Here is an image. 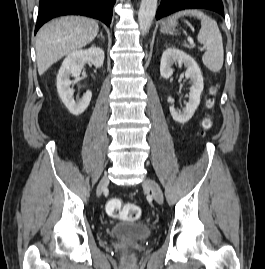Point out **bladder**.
<instances>
[{
	"instance_id": "31cf9c89",
	"label": "bladder",
	"mask_w": 265,
	"mask_h": 269,
	"mask_svg": "<svg viewBox=\"0 0 265 269\" xmlns=\"http://www.w3.org/2000/svg\"><path fill=\"white\" fill-rule=\"evenodd\" d=\"M111 236L132 240H141L152 237L153 228L146 222H122L114 225Z\"/></svg>"
}]
</instances>
